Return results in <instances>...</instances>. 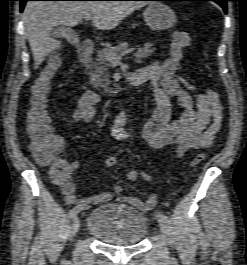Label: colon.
Instances as JSON below:
<instances>
[{
  "mask_svg": "<svg viewBox=\"0 0 247 265\" xmlns=\"http://www.w3.org/2000/svg\"><path fill=\"white\" fill-rule=\"evenodd\" d=\"M192 43L189 33L178 31L173 35L169 58L179 69L184 56V50ZM61 66L59 55L52 56L37 78L30 86V107L27 112V134L29 138V150L35 160L44 166L50 168L51 176L54 179H63L69 174V164L61 159L59 154L63 149L62 139L56 135L49 124L46 102L50 85L57 75ZM180 85L186 90L194 88L183 78H177ZM220 127L218 128V131ZM205 158L203 153L194 157L191 162L193 168L197 167ZM117 157L112 155L106 159V165L114 168L117 165Z\"/></svg>",
  "mask_w": 247,
  "mask_h": 265,
  "instance_id": "5ec220e1",
  "label": "colon"
}]
</instances>
